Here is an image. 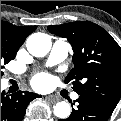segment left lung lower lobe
<instances>
[{"label":"left lung lower lobe","instance_id":"0a47b994","mask_svg":"<svg viewBox=\"0 0 121 121\" xmlns=\"http://www.w3.org/2000/svg\"><path fill=\"white\" fill-rule=\"evenodd\" d=\"M69 118L58 121H107L113 110L89 97L79 96ZM73 105V104H72Z\"/></svg>","mask_w":121,"mask_h":121}]
</instances>
